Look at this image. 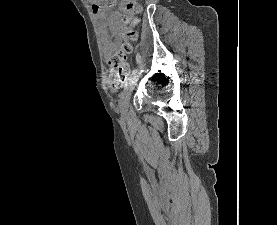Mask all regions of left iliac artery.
Listing matches in <instances>:
<instances>
[{
	"mask_svg": "<svg viewBox=\"0 0 277 225\" xmlns=\"http://www.w3.org/2000/svg\"><path fill=\"white\" fill-rule=\"evenodd\" d=\"M136 74H137V70H134V71L131 73V75H130V77L128 78L127 81H130L133 77L136 76ZM126 84H127V83H126Z\"/></svg>",
	"mask_w": 277,
	"mask_h": 225,
	"instance_id": "left-iliac-artery-1",
	"label": "left iliac artery"
}]
</instances>
